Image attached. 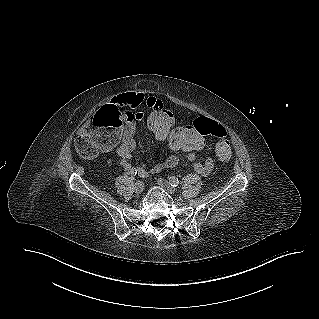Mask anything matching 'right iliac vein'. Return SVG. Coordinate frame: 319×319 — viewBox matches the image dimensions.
I'll use <instances>...</instances> for the list:
<instances>
[{
	"label": "right iliac vein",
	"mask_w": 319,
	"mask_h": 319,
	"mask_svg": "<svg viewBox=\"0 0 319 319\" xmlns=\"http://www.w3.org/2000/svg\"><path fill=\"white\" fill-rule=\"evenodd\" d=\"M144 189V184L141 181H137L134 185L135 193L140 194Z\"/></svg>",
	"instance_id": "63e3f726"
}]
</instances>
